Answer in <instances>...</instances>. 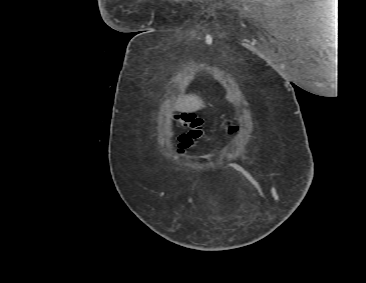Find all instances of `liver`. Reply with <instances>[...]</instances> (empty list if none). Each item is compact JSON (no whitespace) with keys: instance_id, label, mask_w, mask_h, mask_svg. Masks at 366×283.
<instances>
[{"instance_id":"obj_1","label":"liver","mask_w":366,"mask_h":283,"mask_svg":"<svg viewBox=\"0 0 366 283\" xmlns=\"http://www.w3.org/2000/svg\"><path fill=\"white\" fill-rule=\"evenodd\" d=\"M203 107V100L197 95H181L175 105L177 111L186 113L195 112Z\"/></svg>"}]
</instances>
